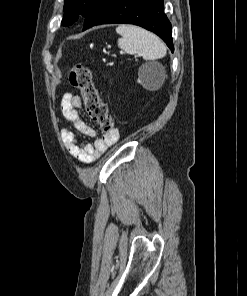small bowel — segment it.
I'll use <instances>...</instances> for the list:
<instances>
[{
  "label": "small bowel",
  "mask_w": 247,
  "mask_h": 296,
  "mask_svg": "<svg viewBox=\"0 0 247 296\" xmlns=\"http://www.w3.org/2000/svg\"><path fill=\"white\" fill-rule=\"evenodd\" d=\"M82 107L83 102L78 95L70 92L63 94L61 99L63 116L77 132L95 138L97 133L83 119L81 114ZM61 137L68 152L73 157L83 163L89 164L98 159L110 146L118 141L119 132L118 130H113L103 137L95 138L92 144L81 141L73 131L67 128L61 130Z\"/></svg>",
  "instance_id": "1"
}]
</instances>
